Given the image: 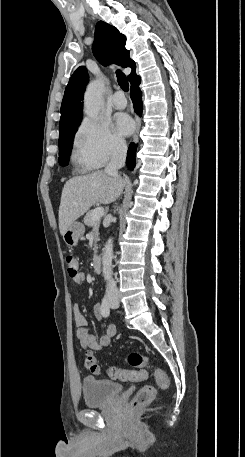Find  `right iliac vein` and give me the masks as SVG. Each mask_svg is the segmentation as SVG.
<instances>
[{
    "instance_id": "obj_1",
    "label": "right iliac vein",
    "mask_w": 245,
    "mask_h": 457,
    "mask_svg": "<svg viewBox=\"0 0 245 457\" xmlns=\"http://www.w3.org/2000/svg\"><path fill=\"white\" fill-rule=\"evenodd\" d=\"M117 300H118L117 297H112V298L110 299V301H111L112 303L116 302Z\"/></svg>"
}]
</instances>
